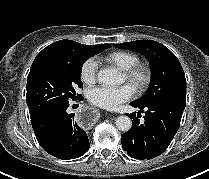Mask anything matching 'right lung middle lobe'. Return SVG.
Wrapping results in <instances>:
<instances>
[{
  "mask_svg": "<svg viewBox=\"0 0 209 179\" xmlns=\"http://www.w3.org/2000/svg\"><path fill=\"white\" fill-rule=\"evenodd\" d=\"M109 47L101 44L69 55L36 57L27 78L26 102L31 121L59 104L80 97L75 88L83 87V63Z\"/></svg>",
  "mask_w": 209,
  "mask_h": 179,
  "instance_id": "1",
  "label": "right lung middle lobe"
}]
</instances>
